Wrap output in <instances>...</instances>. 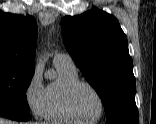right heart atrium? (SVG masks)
<instances>
[{"label":"right heart atrium","mask_w":156,"mask_h":124,"mask_svg":"<svg viewBox=\"0 0 156 124\" xmlns=\"http://www.w3.org/2000/svg\"><path fill=\"white\" fill-rule=\"evenodd\" d=\"M26 104L36 118L46 116L47 92L39 69H35L24 90Z\"/></svg>","instance_id":"d8ad5b80"}]
</instances>
